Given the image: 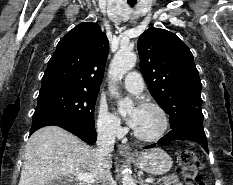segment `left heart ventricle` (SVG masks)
Listing matches in <instances>:
<instances>
[{"instance_id": "1", "label": "left heart ventricle", "mask_w": 233, "mask_h": 185, "mask_svg": "<svg viewBox=\"0 0 233 185\" xmlns=\"http://www.w3.org/2000/svg\"><path fill=\"white\" fill-rule=\"evenodd\" d=\"M134 111V110H133ZM131 111L130 114L133 113ZM162 127V117L158 111L152 108H139L134 130L142 136H152Z\"/></svg>"}]
</instances>
